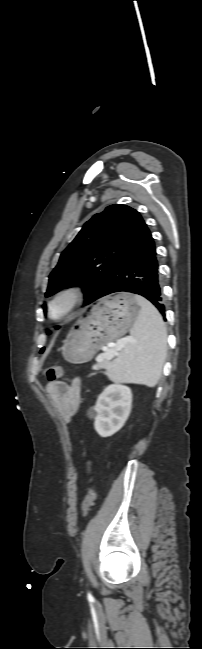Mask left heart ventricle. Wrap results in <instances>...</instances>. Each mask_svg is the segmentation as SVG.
Returning a JSON list of instances; mask_svg holds the SVG:
<instances>
[{
    "mask_svg": "<svg viewBox=\"0 0 202 649\" xmlns=\"http://www.w3.org/2000/svg\"><path fill=\"white\" fill-rule=\"evenodd\" d=\"M62 309H63V305H62V304L57 305V306L55 307V313H56V314H59V313L62 311Z\"/></svg>",
    "mask_w": 202,
    "mask_h": 649,
    "instance_id": "b2bd125f",
    "label": "left heart ventricle"
}]
</instances>
